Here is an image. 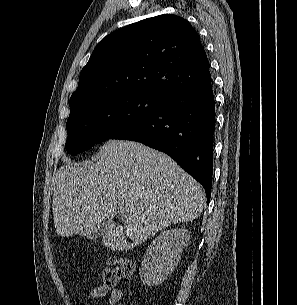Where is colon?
<instances>
[{
    "instance_id": "1",
    "label": "colon",
    "mask_w": 297,
    "mask_h": 305,
    "mask_svg": "<svg viewBox=\"0 0 297 305\" xmlns=\"http://www.w3.org/2000/svg\"><path fill=\"white\" fill-rule=\"evenodd\" d=\"M112 275L122 281H128L132 278L135 265L128 257L115 256L111 260Z\"/></svg>"
}]
</instances>
